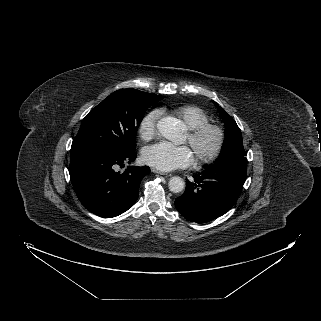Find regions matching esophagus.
Instances as JSON below:
<instances>
[{
    "label": "esophagus",
    "mask_w": 321,
    "mask_h": 321,
    "mask_svg": "<svg viewBox=\"0 0 321 321\" xmlns=\"http://www.w3.org/2000/svg\"><path fill=\"white\" fill-rule=\"evenodd\" d=\"M151 171H152L153 173H157V174H160V175H165V176L168 175L167 173L162 172V171H160V170H158V169H155V168H151Z\"/></svg>",
    "instance_id": "esophagus-1"
}]
</instances>
